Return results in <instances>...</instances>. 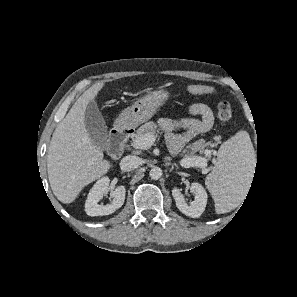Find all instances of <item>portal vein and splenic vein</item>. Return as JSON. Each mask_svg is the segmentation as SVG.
<instances>
[{
  "instance_id": "18ae733b",
  "label": "portal vein and splenic vein",
  "mask_w": 297,
  "mask_h": 297,
  "mask_svg": "<svg viewBox=\"0 0 297 297\" xmlns=\"http://www.w3.org/2000/svg\"><path fill=\"white\" fill-rule=\"evenodd\" d=\"M155 142V136L152 134H145L144 136H141L137 138L133 142V146L137 149H149ZM191 164L198 163V159L196 157L190 158L189 159Z\"/></svg>"
}]
</instances>
